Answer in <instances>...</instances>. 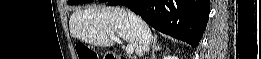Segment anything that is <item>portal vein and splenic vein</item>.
I'll return each mask as SVG.
<instances>
[{"label": "portal vein and splenic vein", "mask_w": 261, "mask_h": 59, "mask_svg": "<svg viewBox=\"0 0 261 59\" xmlns=\"http://www.w3.org/2000/svg\"><path fill=\"white\" fill-rule=\"evenodd\" d=\"M111 38V40H113V41H115V42H117V43H122V41L120 40V38H117V37H115V36H111L110 37ZM133 52H134V48H133V46L132 45H127L126 46V53L127 54H133Z\"/></svg>", "instance_id": "18ae733b"}]
</instances>
